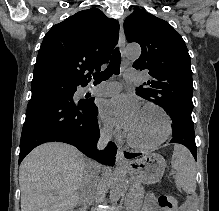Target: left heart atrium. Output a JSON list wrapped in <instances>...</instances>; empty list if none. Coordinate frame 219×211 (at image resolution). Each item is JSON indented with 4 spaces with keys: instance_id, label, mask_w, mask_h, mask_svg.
I'll use <instances>...</instances> for the list:
<instances>
[{
    "instance_id": "1",
    "label": "left heart atrium",
    "mask_w": 219,
    "mask_h": 211,
    "mask_svg": "<svg viewBox=\"0 0 219 211\" xmlns=\"http://www.w3.org/2000/svg\"><path fill=\"white\" fill-rule=\"evenodd\" d=\"M139 103L136 98L128 95H117L101 106L102 120L111 126L130 131L140 114Z\"/></svg>"
}]
</instances>
